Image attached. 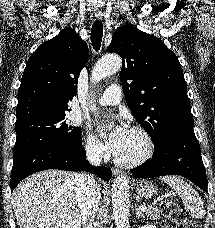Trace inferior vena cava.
I'll return each instance as SVG.
<instances>
[{
  "instance_id": "1",
  "label": "inferior vena cava",
  "mask_w": 215,
  "mask_h": 228,
  "mask_svg": "<svg viewBox=\"0 0 215 228\" xmlns=\"http://www.w3.org/2000/svg\"><path fill=\"white\" fill-rule=\"evenodd\" d=\"M103 152L94 146H86V158L91 166H100ZM78 208L84 228H95L92 220L101 200L100 184L89 174H76L74 178Z\"/></svg>"
}]
</instances>
